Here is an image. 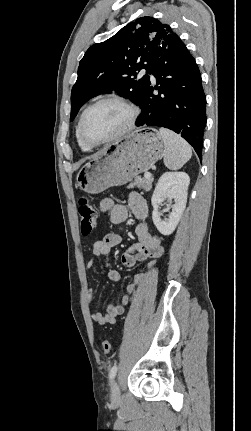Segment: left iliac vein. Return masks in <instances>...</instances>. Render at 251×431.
<instances>
[{"label": "left iliac vein", "instance_id": "left-iliac-vein-1", "mask_svg": "<svg viewBox=\"0 0 251 431\" xmlns=\"http://www.w3.org/2000/svg\"><path fill=\"white\" fill-rule=\"evenodd\" d=\"M111 396H112L113 401H115V402L120 401L121 393H120L118 383L116 381H113V383H112Z\"/></svg>", "mask_w": 251, "mask_h": 431}]
</instances>
